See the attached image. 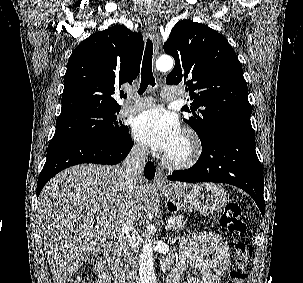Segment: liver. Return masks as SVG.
<instances>
[{
    "label": "liver",
    "instance_id": "1",
    "mask_svg": "<svg viewBox=\"0 0 303 283\" xmlns=\"http://www.w3.org/2000/svg\"><path fill=\"white\" fill-rule=\"evenodd\" d=\"M150 189L140 177L129 195L118 166L81 164L52 178L40 193L37 211L54 282L66 283L90 255L110 250L123 220L140 218Z\"/></svg>",
    "mask_w": 303,
    "mask_h": 283
}]
</instances>
